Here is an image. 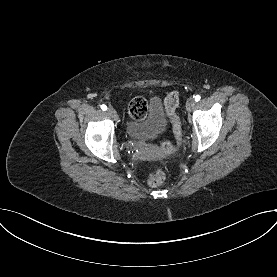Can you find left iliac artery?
<instances>
[{
    "mask_svg": "<svg viewBox=\"0 0 277 277\" xmlns=\"http://www.w3.org/2000/svg\"><path fill=\"white\" fill-rule=\"evenodd\" d=\"M200 98H201L200 95H196L195 96V101L198 102L200 100Z\"/></svg>",
    "mask_w": 277,
    "mask_h": 277,
    "instance_id": "left-iliac-artery-1",
    "label": "left iliac artery"
}]
</instances>
